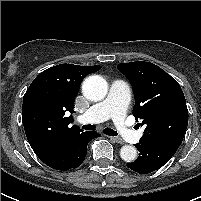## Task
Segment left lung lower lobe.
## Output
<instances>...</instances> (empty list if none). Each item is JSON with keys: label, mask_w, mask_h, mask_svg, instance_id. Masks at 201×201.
<instances>
[{"label": "left lung lower lobe", "mask_w": 201, "mask_h": 201, "mask_svg": "<svg viewBox=\"0 0 201 201\" xmlns=\"http://www.w3.org/2000/svg\"><path fill=\"white\" fill-rule=\"evenodd\" d=\"M180 144L181 142L174 140L139 142L135 144L139 156L136 161L128 163L127 167L140 174L153 172L169 161Z\"/></svg>", "instance_id": "left-lung-lower-lobe-1"}]
</instances>
